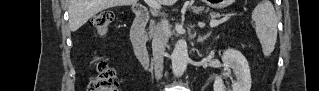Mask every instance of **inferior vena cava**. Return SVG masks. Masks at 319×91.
I'll use <instances>...</instances> for the list:
<instances>
[{
	"label": "inferior vena cava",
	"instance_id": "602c4592",
	"mask_svg": "<svg viewBox=\"0 0 319 91\" xmlns=\"http://www.w3.org/2000/svg\"><path fill=\"white\" fill-rule=\"evenodd\" d=\"M169 33V23L167 19H162L154 28L152 50L155 77L160 79L163 72V61L167 46Z\"/></svg>",
	"mask_w": 319,
	"mask_h": 91
}]
</instances>
